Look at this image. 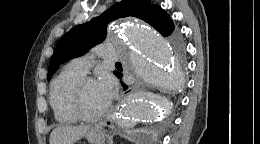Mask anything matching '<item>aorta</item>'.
Masks as SVG:
<instances>
[{
	"label": "aorta",
	"instance_id": "1",
	"mask_svg": "<svg viewBox=\"0 0 260 144\" xmlns=\"http://www.w3.org/2000/svg\"><path fill=\"white\" fill-rule=\"evenodd\" d=\"M117 34L123 44V61L138 77L166 89L179 86L180 65L176 55L156 30L143 22L132 21ZM169 104L165 97L138 92L122 103L117 113L119 123L133 127L140 122L158 121Z\"/></svg>",
	"mask_w": 260,
	"mask_h": 144
}]
</instances>
